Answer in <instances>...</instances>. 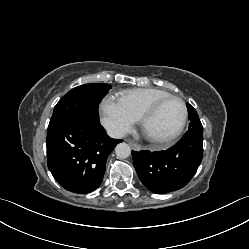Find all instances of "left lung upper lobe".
I'll use <instances>...</instances> for the list:
<instances>
[{"mask_svg":"<svg viewBox=\"0 0 249 249\" xmlns=\"http://www.w3.org/2000/svg\"><path fill=\"white\" fill-rule=\"evenodd\" d=\"M187 109L190 119L189 130L203 131V127L196 110L188 103H187Z\"/></svg>","mask_w":249,"mask_h":249,"instance_id":"1","label":"left lung upper lobe"}]
</instances>
